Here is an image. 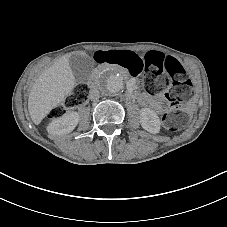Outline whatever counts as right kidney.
Wrapping results in <instances>:
<instances>
[{
    "label": "right kidney",
    "mask_w": 227,
    "mask_h": 227,
    "mask_svg": "<svg viewBox=\"0 0 227 227\" xmlns=\"http://www.w3.org/2000/svg\"><path fill=\"white\" fill-rule=\"evenodd\" d=\"M79 113H65L61 117L55 118L48 124L46 130L51 135H62L71 133L79 122Z\"/></svg>",
    "instance_id": "right-kidney-1"
}]
</instances>
